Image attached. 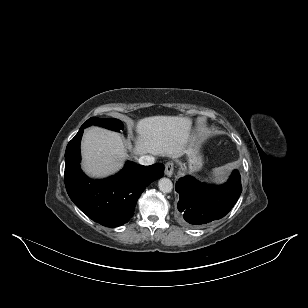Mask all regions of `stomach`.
Returning <instances> with one entry per match:
<instances>
[{"instance_id": "stomach-1", "label": "stomach", "mask_w": 308, "mask_h": 308, "mask_svg": "<svg viewBox=\"0 0 308 308\" xmlns=\"http://www.w3.org/2000/svg\"><path fill=\"white\" fill-rule=\"evenodd\" d=\"M201 148V141L196 136L190 135L185 149L187 166L190 173L199 171L203 166Z\"/></svg>"}]
</instances>
